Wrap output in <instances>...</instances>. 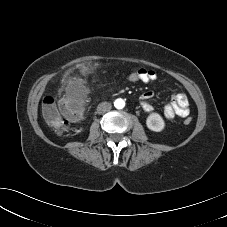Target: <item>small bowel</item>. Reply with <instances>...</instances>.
<instances>
[{
	"mask_svg": "<svg viewBox=\"0 0 227 227\" xmlns=\"http://www.w3.org/2000/svg\"><path fill=\"white\" fill-rule=\"evenodd\" d=\"M142 74L141 82L149 83L157 79V72L151 69H138ZM153 98V93L147 91L140 97L141 107L145 112H152L153 106L150 104V100ZM185 113H189L188 98L184 93H175L172 96V100L164 106L163 114L167 120H172L175 116L182 117Z\"/></svg>",
	"mask_w": 227,
	"mask_h": 227,
	"instance_id": "1",
	"label": "small bowel"
}]
</instances>
